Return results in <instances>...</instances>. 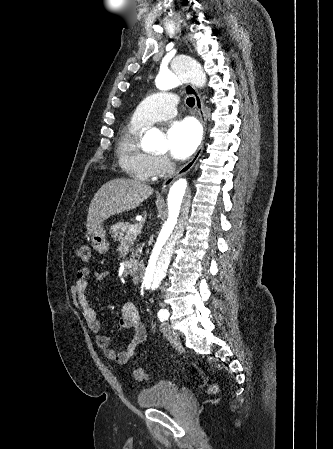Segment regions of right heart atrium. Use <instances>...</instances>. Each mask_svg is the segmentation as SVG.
<instances>
[{
	"label": "right heart atrium",
	"instance_id": "right-heart-atrium-1",
	"mask_svg": "<svg viewBox=\"0 0 333 449\" xmlns=\"http://www.w3.org/2000/svg\"><path fill=\"white\" fill-rule=\"evenodd\" d=\"M153 166L156 176H161L171 169L170 160L164 155H155L153 157Z\"/></svg>",
	"mask_w": 333,
	"mask_h": 449
}]
</instances>
